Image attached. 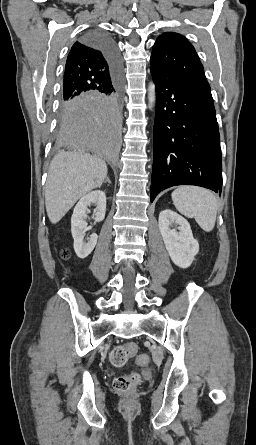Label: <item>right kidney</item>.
Here are the masks:
<instances>
[{"label": "right kidney", "instance_id": "obj_1", "mask_svg": "<svg viewBox=\"0 0 256 445\" xmlns=\"http://www.w3.org/2000/svg\"><path fill=\"white\" fill-rule=\"evenodd\" d=\"M91 203L97 205L94 210L95 223L102 221L105 218L106 212V195L101 190H95L84 195L75 206L71 217V233L74 239V250L76 255L81 259L86 258L93 251L98 239L97 234L92 233L88 241H84L88 206H90Z\"/></svg>", "mask_w": 256, "mask_h": 445}]
</instances>
